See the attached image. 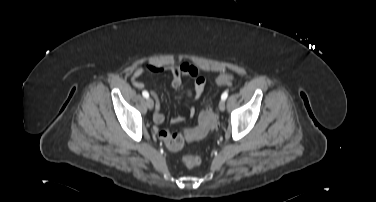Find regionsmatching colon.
Segmentation results:
<instances>
[{
	"mask_svg": "<svg viewBox=\"0 0 376 202\" xmlns=\"http://www.w3.org/2000/svg\"><path fill=\"white\" fill-rule=\"evenodd\" d=\"M234 79L235 78L232 74L225 73L218 76L216 82L219 85H230ZM214 124V112L210 107H207L200 112L197 125L187 133V136L181 132L164 129L160 132V138L163 140L169 150L179 151L184 147L187 137L191 139L204 137L211 130ZM182 162L185 167L192 169L201 164V158L195 153H189L183 156Z\"/></svg>",
	"mask_w": 376,
	"mask_h": 202,
	"instance_id": "5ec220e1",
	"label": "colon"
}]
</instances>
